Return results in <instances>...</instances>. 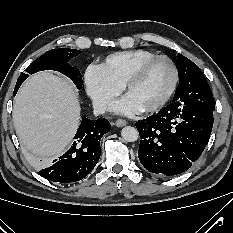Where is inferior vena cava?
Listing matches in <instances>:
<instances>
[{
    "mask_svg": "<svg viewBox=\"0 0 233 233\" xmlns=\"http://www.w3.org/2000/svg\"><path fill=\"white\" fill-rule=\"evenodd\" d=\"M93 109L95 115L103 114L109 109V104L104 101H94Z\"/></svg>",
    "mask_w": 233,
    "mask_h": 233,
    "instance_id": "inferior-vena-cava-1",
    "label": "inferior vena cava"
}]
</instances>
